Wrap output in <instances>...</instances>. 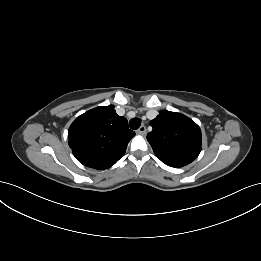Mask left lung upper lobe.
Masks as SVG:
<instances>
[{
    "label": "left lung upper lobe",
    "instance_id": "5c2ea615",
    "mask_svg": "<svg viewBox=\"0 0 261 261\" xmlns=\"http://www.w3.org/2000/svg\"><path fill=\"white\" fill-rule=\"evenodd\" d=\"M153 130L147 134L155 155L171 167H183L197 158L201 151V130L187 116L160 111L150 122Z\"/></svg>",
    "mask_w": 261,
    "mask_h": 261
}]
</instances>
